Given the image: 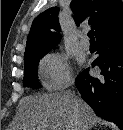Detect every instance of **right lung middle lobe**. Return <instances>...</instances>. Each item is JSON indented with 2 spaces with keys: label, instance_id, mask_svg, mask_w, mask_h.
I'll use <instances>...</instances> for the list:
<instances>
[{
  "label": "right lung middle lobe",
  "instance_id": "right-lung-middle-lobe-1",
  "mask_svg": "<svg viewBox=\"0 0 123 130\" xmlns=\"http://www.w3.org/2000/svg\"><path fill=\"white\" fill-rule=\"evenodd\" d=\"M47 53H39L24 57V86L38 88L37 67L39 60Z\"/></svg>",
  "mask_w": 123,
  "mask_h": 130
}]
</instances>
